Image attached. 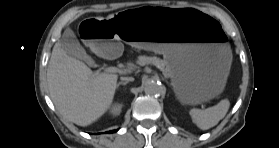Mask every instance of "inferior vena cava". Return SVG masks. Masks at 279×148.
<instances>
[{
	"label": "inferior vena cava",
	"instance_id": "obj_1",
	"mask_svg": "<svg viewBox=\"0 0 279 148\" xmlns=\"http://www.w3.org/2000/svg\"><path fill=\"white\" fill-rule=\"evenodd\" d=\"M121 80L122 81H133L134 80V78L133 77H121Z\"/></svg>",
	"mask_w": 279,
	"mask_h": 148
}]
</instances>
